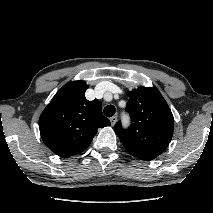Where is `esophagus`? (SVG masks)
<instances>
[{
  "mask_svg": "<svg viewBox=\"0 0 213 213\" xmlns=\"http://www.w3.org/2000/svg\"><path fill=\"white\" fill-rule=\"evenodd\" d=\"M116 121H117V116H113V117L110 118V123H111L112 126L115 125Z\"/></svg>",
  "mask_w": 213,
  "mask_h": 213,
  "instance_id": "1",
  "label": "esophagus"
}]
</instances>
